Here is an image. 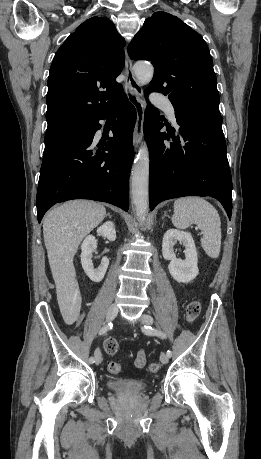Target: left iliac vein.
Instances as JSON below:
<instances>
[{
	"instance_id": "left-iliac-vein-1",
	"label": "left iliac vein",
	"mask_w": 261,
	"mask_h": 459,
	"mask_svg": "<svg viewBox=\"0 0 261 459\" xmlns=\"http://www.w3.org/2000/svg\"><path fill=\"white\" fill-rule=\"evenodd\" d=\"M140 320L150 326L152 323H153V318L150 316V315H147V314H142L141 317H140ZM160 361L163 363V364H167L168 361H169V356L166 354V353H161L160 355Z\"/></svg>"
}]
</instances>
